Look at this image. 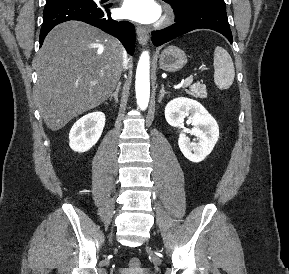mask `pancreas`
<instances>
[{
    "label": "pancreas",
    "instance_id": "1",
    "mask_svg": "<svg viewBox=\"0 0 289 274\" xmlns=\"http://www.w3.org/2000/svg\"><path fill=\"white\" fill-rule=\"evenodd\" d=\"M188 94L196 98H206L207 97L206 86L199 82L194 83L193 85L190 86Z\"/></svg>",
    "mask_w": 289,
    "mask_h": 274
}]
</instances>
